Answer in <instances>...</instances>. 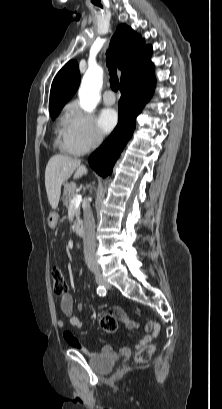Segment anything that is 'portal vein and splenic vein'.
<instances>
[{
    "label": "portal vein and splenic vein",
    "instance_id": "1",
    "mask_svg": "<svg viewBox=\"0 0 222 409\" xmlns=\"http://www.w3.org/2000/svg\"><path fill=\"white\" fill-rule=\"evenodd\" d=\"M82 201V196L80 194H77L71 201V205L78 207Z\"/></svg>",
    "mask_w": 222,
    "mask_h": 409
}]
</instances>
